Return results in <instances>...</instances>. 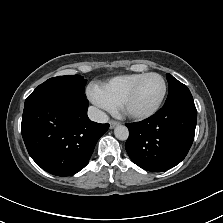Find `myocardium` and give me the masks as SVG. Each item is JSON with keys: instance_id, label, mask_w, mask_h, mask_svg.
Returning a JSON list of instances; mask_svg holds the SVG:
<instances>
[{"instance_id": "myocardium-1", "label": "myocardium", "mask_w": 223, "mask_h": 223, "mask_svg": "<svg viewBox=\"0 0 223 223\" xmlns=\"http://www.w3.org/2000/svg\"><path fill=\"white\" fill-rule=\"evenodd\" d=\"M149 76H157L160 78V80L162 82V92H161V95H160L158 101L154 105V107L152 109H150L149 111L143 112V113H137V112L125 110V107L129 104V102L135 95V93H136L138 87L140 86V84L142 83V81L146 77H149ZM165 95H166V82H165L164 78L160 74L155 73V72L146 73L133 85V87L122 98V100L119 103L118 110L116 111V116L118 118H127V119H132V120L149 119L150 117L154 116L158 112V110L160 109L162 102L165 98Z\"/></svg>"}]
</instances>
